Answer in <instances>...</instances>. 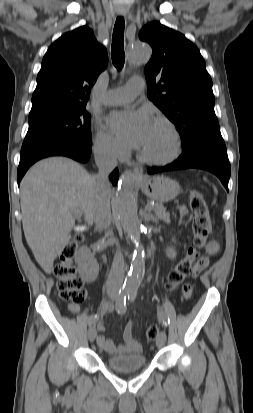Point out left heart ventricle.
<instances>
[{
	"label": "left heart ventricle",
	"mask_w": 253,
	"mask_h": 413,
	"mask_svg": "<svg viewBox=\"0 0 253 413\" xmlns=\"http://www.w3.org/2000/svg\"><path fill=\"white\" fill-rule=\"evenodd\" d=\"M172 148V138L166 127L153 122L140 150L149 156L162 158L169 155Z\"/></svg>",
	"instance_id": "left-heart-ventricle-1"
}]
</instances>
